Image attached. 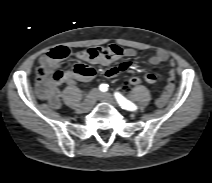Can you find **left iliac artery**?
I'll list each match as a JSON object with an SVG mask.
<instances>
[{
	"label": "left iliac artery",
	"instance_id": "obj_1",
	"mask_svg": "<svg viewBox=\"0 0 212 183\" xmlns=\"http://www.w3.org/2000/svg\"><path fill=\"white\" fill-rule=\"evenodd\" d=\"M117 102L119 103V105L123 108V109H126V110H129V111H135L137 109V106L130 102L129 100H127L125 97H123L120 93L116 92L114 94Z\"/></svg>",
	"mask_w": 212,
	"mask_h": 183
}]
</instances>
